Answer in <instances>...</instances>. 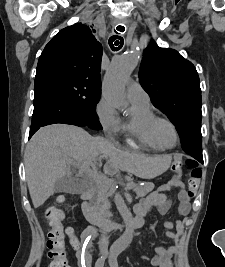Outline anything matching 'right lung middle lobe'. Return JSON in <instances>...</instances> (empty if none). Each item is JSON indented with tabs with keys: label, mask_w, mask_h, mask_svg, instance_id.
<instances>
[{
	"label": "right lung middle lobe",
	"mask_w": 225,
	"mask_h": 267,
	"mask_svg": "<svg viewBox=\"0 0 225 267\" xmlns=\"http://www.w3.org/2000/svg\"><path fill=\"white\" fill-rule=\"evenodd\" d=\"M57 90L86 121L91 129L102 130L96 114L101 87L87 81L62 75H50L40 79Z\"/></svg>",
	"instance_id": "right-lung-middle-lobe-1"
}]
</instances>
